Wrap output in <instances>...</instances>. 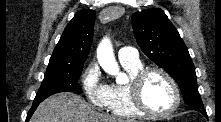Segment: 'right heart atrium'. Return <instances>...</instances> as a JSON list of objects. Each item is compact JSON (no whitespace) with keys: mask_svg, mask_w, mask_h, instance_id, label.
<instances>
[{"mask_svg":"<svg viewBox=\"0 0 221 122\" xmlns=\"http://www.w3.org/2000/svg\"><path fill=\"white\" fill-rule=\"evenodd\" d=\"M82 88L88 100L97 107H106L109 86L101 81V74L95 63H90L82 74Z\"/></svg>","mask_w":221,"mask_h":122,"instance_id":"obj_1","label":"right heart atrium"}]
</instances>
